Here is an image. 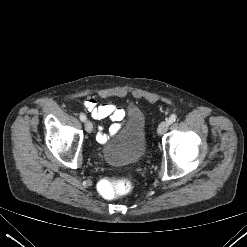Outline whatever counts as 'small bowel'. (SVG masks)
Instances as JSON below:
<instances>
[{"instance_id":"c3829d8e","label":"small bowel","mask_w":247,"mask_h":247,"mask_svg":"<svg viewBox=\"0 0 247 247\" xmlns=\"http://www.w3.org/2000/svg\"><path fill=\"white\" fill-rule=\"evenodd\" d=\"M83 104L94 119H110L114 122V124L110 127L108 134L104 133L101 127L98 129L96 135L97 141L102 144L106 143L110 137L114 136L118 132L120 128L119 122H121L126 115L125 110L113 103L98 104L97 101L91 97L87 98Z\"/></svg>"}]
</instances>
